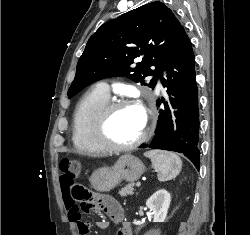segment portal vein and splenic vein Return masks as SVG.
Returning a JSON list of instances; mask_svg holds the SVG:
<instances>
[{"label": "portal vein and splenic vein", "mask_w": 250, "mask_h": 235, "mask_svg": "<svg viewBox=\"0 0 250 235\" xmlns=\"http://www.w3.org/2000/svg\"><path fill=\"white\" fill-rule=\"evenodd\" d=\"M140 185H141L140 182H137V183H136V186H137V187H140Z\"/></svg>", "instance_id": "portal-vein-and-splenic-vein-1"}]
</instances>
